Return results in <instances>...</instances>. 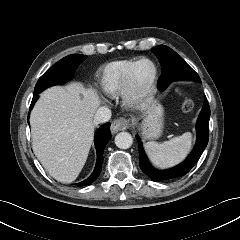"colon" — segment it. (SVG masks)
<instances>
[{"label":"colon","instance_id":"1","mask_svg":"<svg viewBox=\"0 0 240 240\" xmlns=\"http://www.w3.org/2000/svg\"><path fill=\"white\" fill-rule=\"evenodd\" d=\"M180 94L185 95L183 91H180ZM183 108L186 111H190L193 108V102L190 98L185 97L184 102H183Z\"/></svg>","mask_w":240,"mask_h":240}]
</instances>
